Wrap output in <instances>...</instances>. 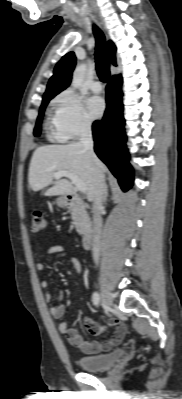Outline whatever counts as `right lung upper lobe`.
<instances>
[{"mask_svg":"<svg viewBox=\"0 0 182 399\" xmlns=\"http://www.w3.org/2000/svg\"><path fill=\"white\" fill-rule=\"evenodd\" d=\"M116 47L112 41L108 42V55L112 64L116 63ZM76 64V57L73 52L67 53L57 63L54 74L50 78L43 99L53 98L55 95L67 88L71 82L72 71Z\"/></svg>","mask_w":182,"mask_h":399,"instance_id":"cb5924a9","label":"right lung upper lobe"}]
</instances>
